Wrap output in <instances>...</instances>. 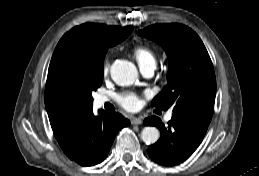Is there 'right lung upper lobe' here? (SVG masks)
Returning a JSON list of instances; mask_svg holds the SVG:
<instances>
[{
	"mask_svg": "<svg viewBox=\"0 0 259 176\" xmlns=\"http://www.w3.org/2000/svg\"><path fill=\"white\" fill-rule=\"evenodd\" d=\"M132 30V26L122 28L85 23L75 26L60 39L49 65L45 87V106L54 133L92 109V100L68 65L70 45L80 39L89 46H114L126 39Z\"/></svg>",
	"mask_w": 259,
	"mask_h": 176,
	"instance_id": "1",
	"label": "right lung upper lobe"
}]
</instances>
